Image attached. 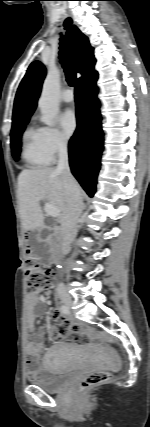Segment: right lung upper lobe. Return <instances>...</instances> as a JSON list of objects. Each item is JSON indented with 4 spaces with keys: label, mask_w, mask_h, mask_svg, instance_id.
I'll return each mask as SVG.
<instances>
[{
    "label": "right lung upper lobe",
    "mask_w": 150,
    "mask_h": 427,
    "mask_svg": "<svg viewBox=\"0 0 150 427\" xmlns=\"http://www.w3.org/2000/svg\"><path fill=\"white\" fill-rule=\"evenodd\" d=\"M67 44L76 71L82 74L77 82L85 81L96 75L93 48L90 46L88 38L74 25L67 31ZM45 74L46 69L41 62L35 61L29 66L16 93L13 123L30 118L34 112Z\"/></svg>",
    "instance_id": "right-lung-upper-lobe-1"
}]
</instances>
